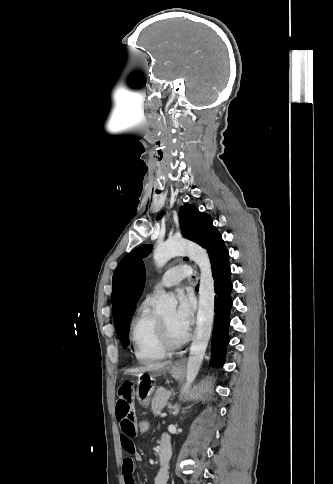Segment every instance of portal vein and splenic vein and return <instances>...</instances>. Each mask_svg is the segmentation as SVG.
<instances>
[{
	"instance_id": "1",
	"label": "portal vein and splenic vein",
	"mask_w": 333,
	"mask_h": 484,
	"mask_svg": "<svg viewBox=\"0 0 333 484\" xmlns=\"http://www.w3.org/2000/svg\"><path fill=\"white\" fill-rule=\"evenodd\" d=\"M165 416H166V414H161V415H160V417H165Z\"/></svg>"
}]
</instances>
